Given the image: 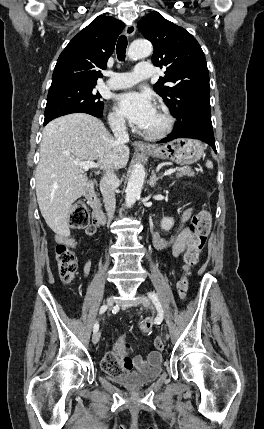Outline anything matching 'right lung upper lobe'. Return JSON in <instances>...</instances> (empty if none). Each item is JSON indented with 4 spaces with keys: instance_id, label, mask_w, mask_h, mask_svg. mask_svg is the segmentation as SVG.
I'll use <instances>...</instances> for the list:
<instances>
[{
    "instance_id": "obj_1",
    "label": "right lung upper lobe",
    "mask_w": 264,
    "mask_h": 429,
    "mask_svg": "<svg viewBox=\"0 0 264 429\" xmlns=\"http://www.w3.org/2000/svg\"><path fill=\"white\" fill-rule=\"evenodd\" d=\"M124 27L113 17H96L60 54L50 89L75 84L95 85Z\"/></svg>"
}]
</instances>
